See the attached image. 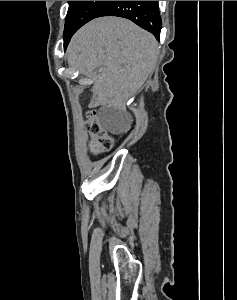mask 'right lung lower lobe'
Returning a JSON list of instances; mask_svg holds the SVG:
<instances>
[{
  "instance_id": "1",
  "label": "right lung lower lobe",
  "mask_w": 237,
  "mask_h": 300,
  "mask_svg": "<svg viewBox=\"0 0 237 300\" xmlns=\"http://www.w3.org/2000/svg\"><path fill=\"white\" fill-rule=\"evenodd\" d=\"M127 18L160 39L161 19L158 1H111L97 17Z\"/></svg>"
}]
</instances>
